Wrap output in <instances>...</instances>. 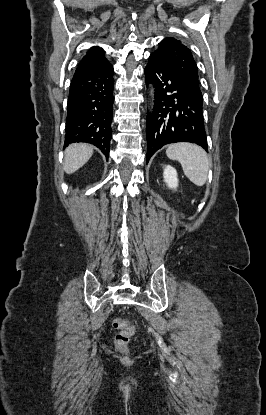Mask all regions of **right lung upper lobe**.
Returning <instances> with one entry per match:
<instances>
[{
  "label": "right lung upper lobe",
  "instance_id": "cb5924a9",
  "mask_svg": "<svg viewBox=\"0 0 266 415\" xmlns=\"http://www.w3.org/2000/svg\"><path fill=\"white\" fill-rule=\"evenodd\" d=\"M109 65L104 56V50L99 47H92L83 57L74 73V77L85 75Z\"/></svg>",
  "mask_w": 266,
  "mask_h": 415
}]
</instances>
